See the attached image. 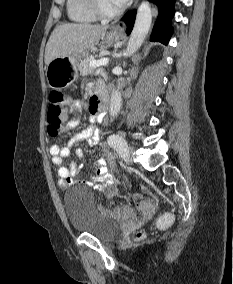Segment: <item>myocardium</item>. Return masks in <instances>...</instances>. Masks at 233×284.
<instances>
[{
	"label": "myocardium",
	"mask_w": 233,
	"mask_h": 284,
	"mask_svg": "<svg viewBox=\"0 0 233 284\" xmlns=\"http://www.w3.org/2000/svg\"><path fill=\"white\" fill-rule=\"evenodd\" d=\"M90 1V7L93 11V13L97 16V18L100 19H113L117 16H119L122 12V8L118 7L117 9L113 11L106 10L101 0H89Z\"/></svg>",
	"instance_id": "1"
}]
</instances>
